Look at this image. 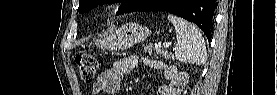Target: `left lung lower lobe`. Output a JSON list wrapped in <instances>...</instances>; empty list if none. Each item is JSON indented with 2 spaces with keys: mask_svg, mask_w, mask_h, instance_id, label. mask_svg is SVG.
Returning a JSON list of instances; mask_svg holds the SVG:
<instances>
[{
  "mask_svg": "<svg viewBox=\"0 0 277 95\" xmlns=\"http://www.w3.org/2000/svg\"><path fill=\"white\" fill-rule=\"evenodd\" d=\"M216 8V0H146L135 11L170 12L195 23L211 40Z\"/></svg>",
  "mask_w": 277,
  "mask_h": 95,
  "instance_id": "left-lung-lower-lobe-1",
  "label": "left lung lower lobe"
}]
</instances>
